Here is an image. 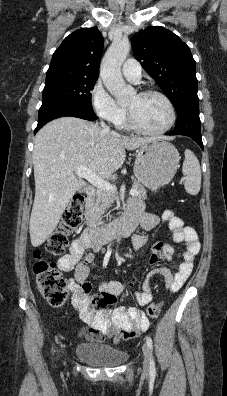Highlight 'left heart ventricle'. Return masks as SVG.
<instances>
[{
  "mask_svg": "<svg viewBox=\"0 0 227 396\" xmlns=\"http://www.w3.org/2000/svg\"><path fill=\"white\" fill-rule=\"evenodd\" d=\"M138 124L148 130L164 127L169 121V110L165 102L158 96L134 95L127 103Z\"/></svg>",
  "mask_w": 227,
  "mask_h": 396,
  "instance_id": "b2bd125f",
  "label": "left heart ventricle"
}]
</instances>
